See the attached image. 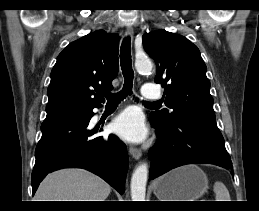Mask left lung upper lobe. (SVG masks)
Listing matches in <instances>:
<instances>
[{"mask_svg":"<svg viewBox=\"0 0 259 211\" xmlns=\"http://www.w3.org/2000/svg\"><path fill=\"white\" fill-rule=\"evenodd\" d=\"M143 46L157 65L155 82L165 87V105L150 118L166 126L185 117L216 123L210 82L200 51L184 36L157 30L143 35Z\"/></svg>","mask_w":259,"mask_h":211,"instance_id":"left-lung-upper-lobe-1","label":"left lung upper lobe"}]
</instances>
